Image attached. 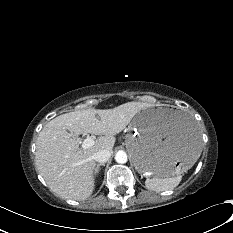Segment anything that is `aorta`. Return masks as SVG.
I'll list each match as a JSON object with an SVG mask.
<instances>
[{
  "label": "aorta",
  "mask_w": 233,
  "mask_h": 233,
  "mask_svg": "<svg viewBox=\"0 0 233 233\" xmlns=\"http://www.w3.org/2000/svg\"><path fill=\"white\" fill-rule=\"evenodd\" d=\"M115 160L117 163L124 164L127 162V154L125 151L119 150L115 155Z\"/></svg>",
  "instance_id": "762f6f07"
}]
</instances>
